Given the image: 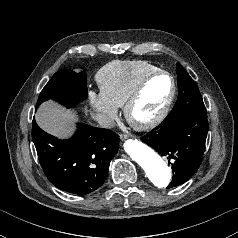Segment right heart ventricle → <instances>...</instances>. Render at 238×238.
<instances>
[{
    "mask_svg": "<svg viewBox=\"0 0 238 238\" xmlns=\"http://www.w3.org/2000/svg\"><path fill=\"white\" fill-rule=\"evenodd\" d=\"M158 68L145 61H112L96 74L101 93L116 107H122L137 84Z\"/></svg>",
    "mask_w": 238,
    "mask_h": 238,
    "instance_id": "e07e8e85",
    "label": "right heart ventricle"
}]
</instances>
